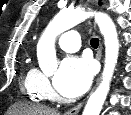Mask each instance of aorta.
<instances>
[{"label": "aorta", "mask_w": 131, "mask_h": 115, "mask_svg": "<svg viewBox=\"0 0 131 115\" xmlns=\"http://www.w3.org/2000/svg\"><path fill=\"white\" fill-rule=\"evenodd\" d=\"M94 16L105 43V65L102 80L90 95L83 115H99L107 97L119 54L118 33L112 19L105 13L83 9L62 10L49 23L37 44V57L45 75H52L57 68L56 37L78 23Z\"/></svg>", "instance_id": "1"}]
</instances>
